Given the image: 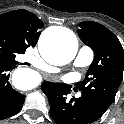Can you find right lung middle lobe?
<instances>
[{
    "label": "right lung middle lobe",
    "mask_w": 124,
    "mask_h": 124,
    "mask_svg": "<svg viewBox=\"0 0 124 124\" xmlns=\"http://www.w3.org/2000/svg\"><path fill=\"white\" fill-rule=\"evenodd\" d=\"M25 49L19 37L0 27V60L16 62V54L24 53Z\"/></svg>",
    "instance_id": "dd1d6c3e"
}]
</instances>
